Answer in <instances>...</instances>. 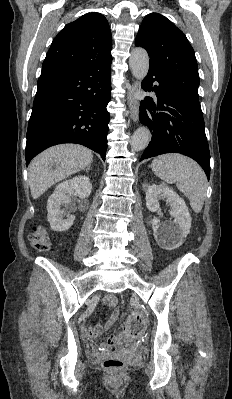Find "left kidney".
<instances>
[{
    "label": "left kidney",
    "mask_w": 232,
    "mask_h": 399,
    "mask_svg": "<svg viewBox=\"0 0 232 399\" xmlns=\"http://www.w3.org/2000/svg\"><path fill=\"white\" fill-rule=\"evenodd\" d=\"M158 200L169 201L170 213L174 219L173 221H160L159 217H154L152 221L153 235L157 243L164 249L180 247L191 227L192 217L189 209L185 201L163 182L160 186L153 184L146 188V205L150 211H158L160 207Z\"/></svg>",
    "instance_id": "obj_1"
}]
</instances>
